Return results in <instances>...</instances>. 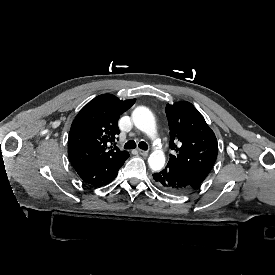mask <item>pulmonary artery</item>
<instances>
[{"label":"pulmonary artery","instance_id":"obj_1","mask_svg":"<svg viewBox=\"0 0 275 275\" xmlns=\"http://www.w3.org/2000/svg\"><path fill=\"white\" fill-rule=\"evenodd\" d=\"M153 136H154L155 138H158V137L160 136V132H159L158 130H155V131L153 132Z\"/></svg>","mask_w":275,"mask_h":275}]
</instances>
